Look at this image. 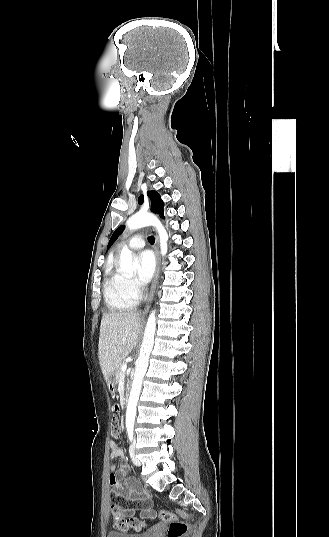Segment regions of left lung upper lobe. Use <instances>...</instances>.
<instances>
[{"label": "left lung upper lobe", "mask_w": 329, "mask_h": 537, "mask_svg": "<svg viewBox=\"0 0 329 537\" xmlns=\"http://www.w3.org/2000/svg\"><path fill=\"white\" fill-rule=\"evenodd\" d=\"M147 195L149 196L150 201H151V210H152V212L161 214V216L164 218V214H163L164 203L161 200L160 194L158 192H156V191H148ZM142 202H143V195H140V197L138 198V203L142 204ZM122 229H123V226L117 228L114 231V233L111 236L110 241L108 243V248L117 239V237L120 234V232L122 231Z\"/></svg>", "instance_id": "1"}]
</instances>
